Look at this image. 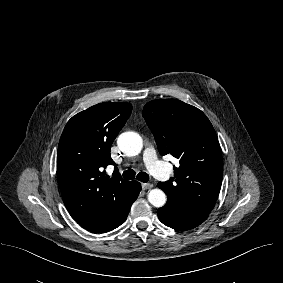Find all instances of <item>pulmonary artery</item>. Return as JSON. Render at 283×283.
Listing matches in <instances>:
<instances>
[{"instance_id": "obj_1", "label": "pulmonary artery", "mask_w": 283, "mask_h": 283, "mask_svg": "<svg viewBox=\"0 0 283 283\" xmlns=\"http://www.w3.org/2000/svg\"><path fill=\"white\" fill-rule=\"evenodd\" d=\"M144 161L151 173L160 180H165L168 176L165 165L157 160L156 151L152 147H147L143 153Z\"/></svg>"}]
</instances>
